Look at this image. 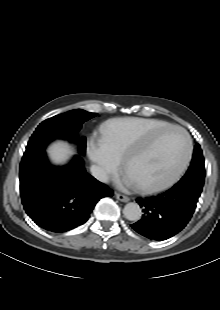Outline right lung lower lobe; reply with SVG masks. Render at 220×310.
<instances>
[{
	"label": "right lung lower lobe",
	"instance_id": "1",
	"mask_svg": "<svg viewBox=\"0 0 220 310\" xmlns=\"http://www.w3.org/2000/svg\"><path fill=\"white\" fill-rule=\"evenodd\" d=\"M20 192L26 213L40 227L66 232L84 224L96 203L113 191L89 175L76 156L64 167L51 166L44 149L24 153Z\"/></svg>",
	"mask_w": 220,
	"mask_h": 310
}]
</instances>
